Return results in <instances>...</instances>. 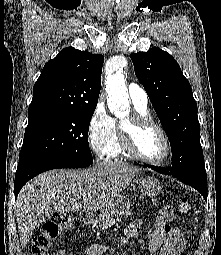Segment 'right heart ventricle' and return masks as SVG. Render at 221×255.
Listing matches in <instances>:
<instances>
[{
	"mask_svg": "<svg viewBox=\"0 0 221 255\" xmlns=\"http://www.w3.org/2000/svg\"><path fill=\"white\" fill-rule=\"evenodd\" d=\"M134 110L139 115L148 116L147 107H142L134 104ZM104 155L110 159L132 158V156L124 149L121 143L119 136V125L115 120L111 134L104 147Z\"/></svg>",
	"mask_w": 221,
	"mask_h": 255,
	"instance_id": "obj_1",
	"label": "right heart ventricle"
}]
</instances>
